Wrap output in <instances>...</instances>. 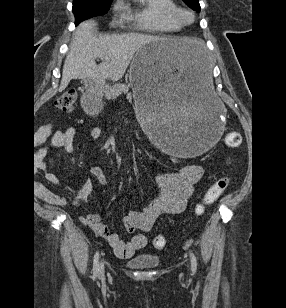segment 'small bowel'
I'll return each instance as SVG.
<instances>
[{
    "label": "small bowel",
    "mask_w": 286,
    "mask_h": 308,
    "mask_svg": "<svg viewBox=\"0 0 286 308\" xmlns=\"http://www.w3.org/2000/svg\"><path fill=\"white\" fill-rule=\"evenodd\" d=\"M101 129L93 128L90 131L92 139L101 137ZM76 129L73 127L64 130H53L52 125L41 126L36 134L35 141L40 147L37 152V166L43 171L46 180L51 183H58V178L52 172L53 160L46 159L47 146L51 148H63L67 152L75 149ZM91 173L96 182L101 185L107 183V176L100 166H93ZM203 170L198 165L188 164L177 171L161 173L155 176V183L158 188V195L150 199L147 205L139 210L133 209L124 218L123 224L126 231L133 234L129 241H124L120 236L111 232L99 215L88 214L81 217V221L89 226L94 233L104 238L114 253L120 258H129L137 250L147 245V238L141 232L153 229L157 218L161 214H178L182 212L191 198L195 185L201 180ZM93 191V181H87L81 188L73 193L76 205L84 203ZM42 197L56 205H65L66 199L60 197L49 190L42 192Z\"/></svg>",
    "instance_id": "1"
}]
</instances>
